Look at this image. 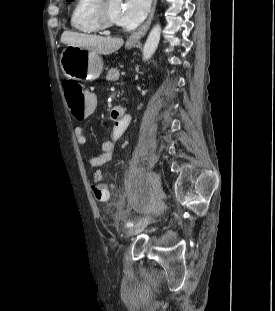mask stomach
<instances>
[{
	"mask_svg": "<svg viewBox=\"0 0 275 311\" xmlns=\"http://www.w3.org/2000/svg\"><path fill=\"white\" fill-rule=\"evenodd\" d=\"M128 49L134 45H126ZM61 68L66 77L86 79L89 81L99 78L103 70L101 56L87 48L68 45L60 56Z\"/></svg>",
	"mask_w": 275,
	"mask_h": 311,
	"instance_id": "0dacf381",
	"label": "stomach"
}]
</instances>
